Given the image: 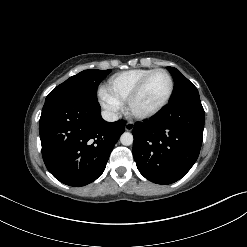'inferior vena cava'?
I'll return each mask as SVG.
<instances>
[{"label": "inferior vena cava", "instance_id": "1", "mask_svg": "<svg viewBox=\"0 0 247 247\" xmlns=\"http://www.w3.org/2000/svg\"><path fill=\"white\" fill-rule=\"evenodd\" d=\"M102 118L108 122H114L118 120V115L111 111H102Z\"/></svg>", "mask_w": 247, "mask_h": 247}]
</instances>
